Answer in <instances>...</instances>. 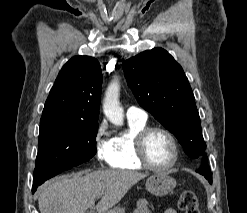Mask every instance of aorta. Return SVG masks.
I'll list each match as a JSON object with an SVG mask.
<instances>
[{
	"mask_svg": "<svg viewBox=\"0 0 247 213\" xmlns=\"http://www.w3.org/2000/svg\"><path fill=\"white\" fill-rule=\"evenodd\" d=\"M120 84L118 79H114L108 86L103 101V111L108 120L116 125H123V108L119 102Z\"/></svg>",
	"mask_w": 247,
	"mask_h": 213,
	"instance_id": "762f6f07",
	"label": "aorta"
}]
</instances>
